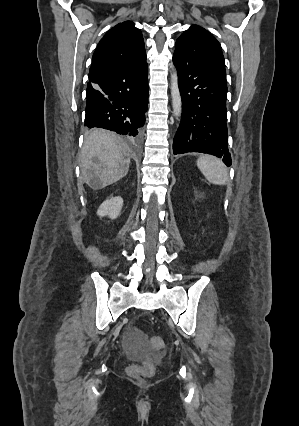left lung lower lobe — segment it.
I'll list each match as a JSON object with an SVG mask.
<instances>
[{
	"mask_svg": "<svg viewBox=\"0 0 299 426\" xmlns=\"http://www.w3.org/2000/svg\"><path fill=\"white\" fill-rule=\"evenodd\" d=\"M173 63L178 71L182 98V120L173 141L174 154L203 152L223 157L227 166L231 156L227 145V84L206 66L196 63L175 49Z\"/></svg>",
	"mask_w": 299,
	"mask_h": 426,
	"instance_id": "1",
	"label": "left lung lower lobe"
}]
</instances>
